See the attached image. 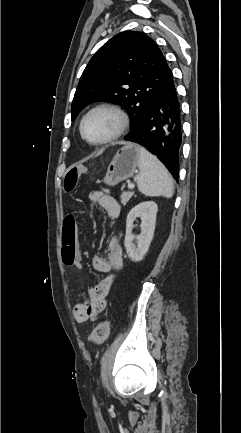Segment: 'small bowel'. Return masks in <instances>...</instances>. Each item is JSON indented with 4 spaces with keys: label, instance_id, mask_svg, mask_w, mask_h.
<instances>
[{
    "label": "small bowel",
    "instance_id": "1",
    "mask_svg": "<svg viewBox=\"0 0 241 433\" xmlns=\"http://www.w3.org/2000/svg\"><path fill=\"white\" fill-rule=\"evenodd\" d=\"M91 201L105 211L110 218H117L119 216L120 206L111 195L103 192H94L91 195ZM76 229H78V226ZM76 253L77 258L74 265L80 268L81 256L79 251ZM92 265L95 270L104 273L121 269L123 266V252L119 239L113 237L108 244L106 258L94 256ZM114 281L115 275L111 274L98 285L88 289V298L77 303L73 310V316L77 323L82 324L97 319L106 308L107 299Z\"/></svg>",
    "mask_w": 241,
    "mask_h": 433
}]
</instances>
